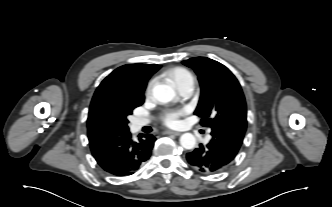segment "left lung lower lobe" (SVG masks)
<instances>
[{"label":"left lung lower lobe","mask_w":332,"mask_h":207,"mask_svg":"<svg viewBox=\"0 0 332 207\" xmlns=\"http://www.w3.org/2000/svg\"><path fill=\"white\" fill-rule=\"evenodd\" d=\"M212 139L187 154L188 163L198 172L214 174L224 170L237 155L244 133L213 128Z\"/></svg>","instance_id":"1"}]
</instances>
